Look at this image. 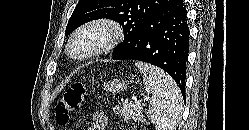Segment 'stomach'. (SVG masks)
<instances>
[{
  "label": "stomach",
  "instance_id": "obj_1",
  "mask_svg": "<svg viewBox=\"0 0 249 130\" xmlns=\"http://www.w3.org/2000/svg\"><path fill=\"white\" fill-rule=\"evenodd\" d=\"M128 85H129V82L123 79H114V80H110L109 82L104 83L103 87L106 91L115 93V92L126 89Z\"/></svg>",
  "mask_w": 249,
  "mask_h": 130
}]
</instances>
